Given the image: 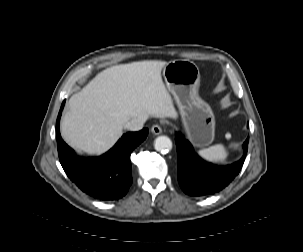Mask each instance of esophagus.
Instances as JSON below:
<instances>
[{"label":"esophagus","instance_id":"1","mask_svg":"<svg viewBox=\"0 0 303 252\" xmlns=\"http://www.w3.org/2000/svg\"><path fill=\"white\" fill-rule=\"evenodd\" d=\"M151 132L154 134V135H159L162 133V127L159 125V124H155L152 126L151 128Z\"/></svg>","mask_w":303,"mask_h":252}]
</instances>
